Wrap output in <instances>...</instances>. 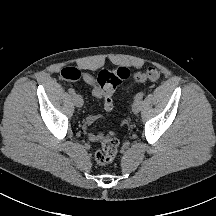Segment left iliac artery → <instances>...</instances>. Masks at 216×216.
<instances>
[{"mask_svg": "<svg viewBox=\"0 0 216 216\" xmlns=\"http://www.w3.org/2000/svg\"><path fill=\"white\" fill-rule=\"evenodd\" d=\"M144 96L143 92H139L136 96H135V101H140Z\"/></svg>", "mask_w": 216, "mask_h": 216, "instance_id": "obj_1", "label": "left iliac artery"}]
</instances>
